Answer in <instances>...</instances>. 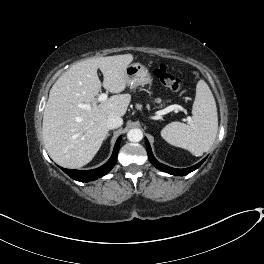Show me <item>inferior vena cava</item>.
<instances>
[{
  "label": "inferior vena cava",
  "mask_w": 264,
  "mask_h": 264,
  "mask_svg": "<svg viewBox=\"0 0 264 264\" xmlns=\"http://www.w3.org/2000/svg\"><path fill=\"white\" fill-rule=\"evenodd\" d=\"M123 124V119L119 116H111L107 120V127L108 129H115L120 127Z\"/></svg>",
  "instance_id": "inferior-vena-cava-1"
}]
</instances>
